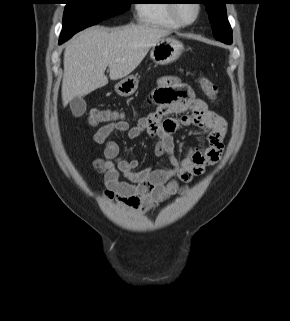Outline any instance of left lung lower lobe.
Listing matches in <instances>:
<instances>
[{"mask_svg":"<svg viewBox=\"0 0 290 321\" xmlns=\"http://www.w3.org/2000/svg\"><path fill=\"white\" fill-rule=\"evenodd\" d=\"M221 42H223L225 44H231L232 43V41H221Z\"/></svg>","mask_w":290,"mask_h":321,"instance_id":"obj_1","label":"left lung lower lobe"}]
</instances>
